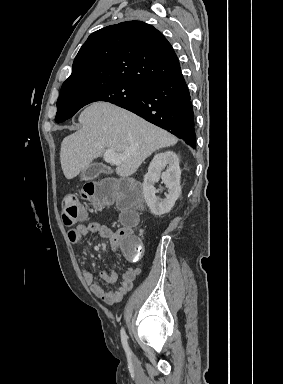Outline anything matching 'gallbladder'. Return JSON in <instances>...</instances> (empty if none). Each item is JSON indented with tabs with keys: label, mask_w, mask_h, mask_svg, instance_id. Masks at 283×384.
Returning <instances> with one entry per match:
<instances>
[{
	"label": "gallbladder",
	"mask_w": 283,
	"mask_h": 384,
	"mask_svg": "<svg viewBox=\"0 0 283 384\" xmlns=\"http://www.w3.org/2000/svg\"><path fill=\"white\" fill-rule=\"evenodd\" d=\"M104 167L102 165H89L88 170L82 174V180H91V178L99 177V172H102Z\"/></svg>",
	"instance_id": "gallbladder-1"
}]
</instances>
